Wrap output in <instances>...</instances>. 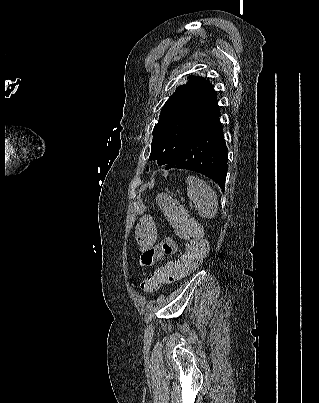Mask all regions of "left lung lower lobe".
<instances>
[{"label": "left lung lower lobe", "instance_id": "0a47b994", "mask_svg": "<svg viewBox=\"0 0 319 403\" xmlns=\"http://www.w3.org/2000/svg\"><path fill=\"white\" fill-rule=\"evenodd\" d=\"M217 99L191 128L187 139L165 169H188L216 182L224 191L227 174V147L219 120Z\"/></svg>", "mask_w": 319, "mask_h": 403}]
</instances>
